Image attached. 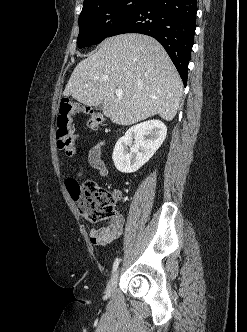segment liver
<instances>
[{"label": "liver", "instance_id": "liver-1", "mask_svg": "<svg viewBox=\"0 0 247 332\" xmlns=\"http://www.w3.org/2000/svg\"><path fill=\"white\" fill-rule=\"evenodd\" d=\"M182 92V80L160 43L146 35L122 34L105 39L75 67L64 95L87 106L103 102L106 117L128 126L157 114L171 121Z\"/></svg>", "mask_w": 247, "mask_h": 332}]
</instances>
